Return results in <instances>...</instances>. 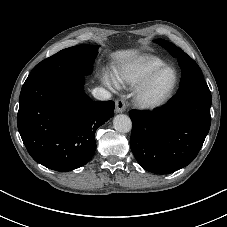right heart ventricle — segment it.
<instances>
[{
    "mask_svg": "<svg viewBox=\"0 0 227 227\" xmlns=\"http://www.w3.org/2000/svg\"><path fill=\"white\" fill-rule=\"evenodd\" d=\"M165 61L157 56H143L123 64L114 74L117 84L137 86L152 71L165 65Z\"/></svg>",
    "mask_w": 227,
    "mask_h": 227,
    "instance_id": "e07e8e85",
    "label": "right heart ventricle"
}]
</instances>
